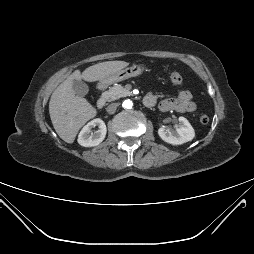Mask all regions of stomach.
I'll use <instances>...</instances> for the list:
<instances>
[{
  "instance_id": "stomach-1",
  "label": "stomach",
  "mask_w": 254,
  "mask_h": 254,
  "mask_svg": "<svg viewBox=\"0 0 254 254\" xmlns=\"http://www.w3.org/2000/svg\"><path fill=\"white\" fill-rule=\"evenodd\" d=\"M144 68L141 64L134 63L129 67H125L122 70L111 74L104 79L100 80V85L107 86L115 82H120L131 77L139 76L143 73Z\"/></svg>"
}]
</instances>
